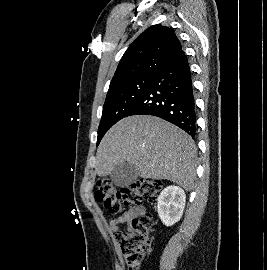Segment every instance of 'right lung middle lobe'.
<instances>
[{"label":"right lung middle lobe","mask_w":267,"mask_h":270,"mask_svg":"<svg viewBox=\"0 0 267 270\" xmlns=\"http://www.w3.org/2000/svg\"><path fill=\"white\" fill-rule=\"evenodd\" d=\"M153 78L154 75L138 76L108 90L98 128L97 145L104 134L133 109L145 94Z\"/></svg>","instance_id":"obj_1"}]
</instances>
